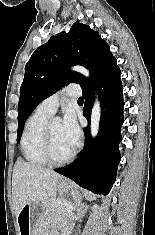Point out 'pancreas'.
I'll use <instances>...</instances> for the list:
<instances>
[{
  "instance_id": "pancreas-1",
  "label": "pancreas",
  "mask_w": 155,
  "mask_h": 235,
  "mask_svg": "<svg viewBox=\"0 0 155 235\" xmlns=\"http://www.w3.org/2000/svg\"><path fill=\"white\" fill-rule=\"evenodd\" d=\"M45 208L48 214L55 218H61L64 215H67L65 210V205L59 199H52L50 201L45 202ZM70 216H73L69 214Z\"/></svg>"
}]
</instances>
